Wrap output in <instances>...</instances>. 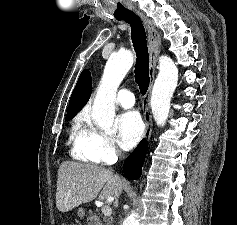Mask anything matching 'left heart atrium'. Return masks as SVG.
<instances>
[{
    "instance_id": "obj_1",
    "label": "left heart atrium",
    "mask_w": 237,
    "mask_h": 225,
    "mask_svg": "<svg viewBox=\"0 0 237 225\" xmlns=\"http://www.w3.org/2000/svg\"><path fill=\"white\" fill-rule=\"evenodd\" d=\"M118 141L125 150L132 149L143 135V123L139 114L129 111L121 114L117 120Z\"/></svg>"
}]
</instances>
